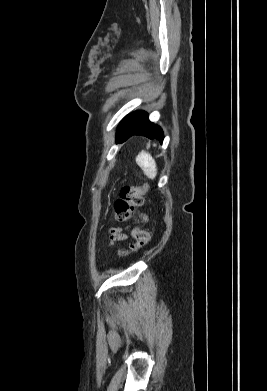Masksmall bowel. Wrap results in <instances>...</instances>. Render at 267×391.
Here are the masks:
<instances>
[{
    "mask_svg": "<svg viewBox=\"0 0 267 391\" xmlns=\"http://www.w3.org/2000/svg\"><path fill=\"white\" fill-rule=\"evenodd\" d=\"M111 241H118V240H124L126 238V234L123 233L122 229L120 228H114L111 230Z\"/></svg>",
    "mask_w": 267,
    "mask_h": 391,
    "instance_id": "small-bowel-1",
    "label": "small bowel"
}]
</instances>
